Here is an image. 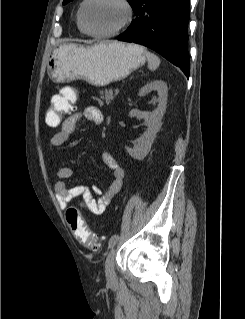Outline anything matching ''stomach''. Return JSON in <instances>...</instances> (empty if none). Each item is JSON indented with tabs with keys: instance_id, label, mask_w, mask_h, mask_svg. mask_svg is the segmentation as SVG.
<instances>
[{
	"instance_id": "1",
	"label": "stomach",
	"mask_w": 245,
	"mask_h": 319,
	"mask_svg": "<svg viewBox=\"0 0 245 319\" xmlns=\"http://www.w3.org/2000/svg\"><path fill=\"white\" fill-rule=\"evenodd\" d=\"M146 61L144 48L137 44L100 42L91 46L64 44L56 48L47 73L56 83L84 79L105 86L127 77Z\"/></svg>"
}]
</instances>
